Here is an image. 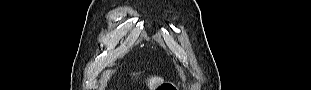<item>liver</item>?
Here are the masks:
<instances>
[{
  "mask_svg": "<svg viewBox=\"0 0 311 90\" xmlns=\"http://www.w3.org/2000/svg\"><path fill=\"white\" fill-rule=\"evenodd\" d=\"M163 81L164 80L161 77L152 76L149 79H147V86L149 87L150 90H155Z\"/></svg>",
  "mask_w": 311,
  "mask_h": 90,
  "instance_id": "obj_1",
  "label": "liver"
}]
</instances>
